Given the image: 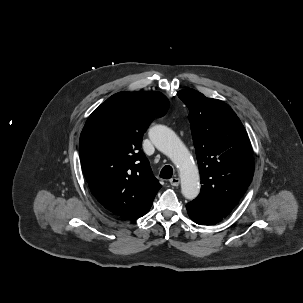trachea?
<instances>
[{
  "label": "trachea",
  "mask_w": 303,
  "mask_h": 303,
  "mask_svg": "<svg viewBox=\"0 0 303 303\" xmlns=\"http://www.w3.org/2000/svg\"><path fill=\"white\" fill-rule=\"evenodd\" d=\"M172 175H173V168L169 165L164 166L160 172V177L163 179H170Z\"/></svg>",
  "instance_id": "3493384b"
}]
</instances>
